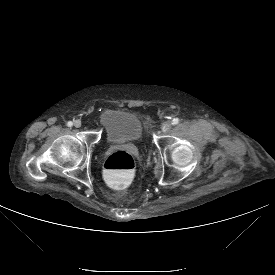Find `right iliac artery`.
Wrapping results in <instances>:
<instances>
[{"instance_id":"1","label":"right iliac artery","mask_w":275,"mask_h":275,"mask_svg":"<svg viewBox=\"0 0 275 275\" xmlns=\"http://www.w3.org/2000/svg\"><path fill=\"white\" fill-rule=\"evenodd\" d=\"M73 125V123L71 121L67 122V126L71 127Z\"/></svg>"}]
</instances>
